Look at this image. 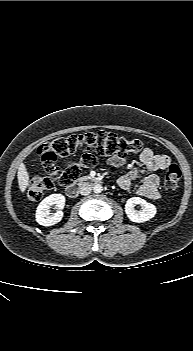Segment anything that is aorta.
Segmentation results:
<instances>
[{
  "instance_id": "obj_1",
  "label": "aorta",
  "mask_w": 193,
  "mask_h": 351,
  "mask_svg": "<svg viewBox=\"0 0 193 351\" xmlns=\"http://www.w3.org/2000/svg\"><path fill=\"white\" fill-rule=\"evenodd\" d=\"M93 191H94L95 193H101V192L103 191L102 185H100V184L94 185Z\"/></svg>"
}]
</instances>
